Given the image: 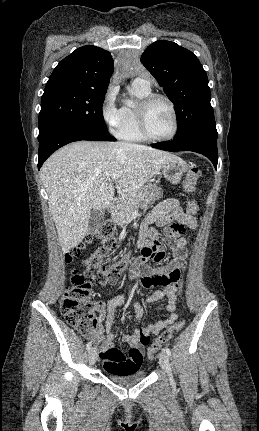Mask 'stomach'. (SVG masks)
Listing matches in <instances>:
<instances>
[{
	"label": "stomach",
	"mask_w": 259,
	"mask_h": 431,
	"mask_svg": "<svg viewBox=\"0 0 259 431\" xmlns=\"http://www.w3.org/2000/svg\"><path fill=\"white\" fill-rule=\"evenodd\" d=\"M189 169V165L182 159H177L167 163L161 169V175L172 184H178L181 180V177L184 173H186ZM146 194L140 203V207L147 209L151 206L156 200L160 199L163 195V190L159 186L155 184H147L145 186Z\"/></svg>",
	"instance_id": "1"
}]
</instances>
